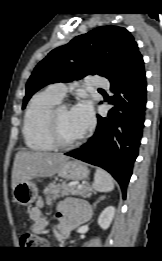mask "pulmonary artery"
<instances>
[{
    "mask_svg": "<svg viewBox=\"0 0 162 261\" xmlns=\"http://www.w3.org/2000/svg\"><path fill=\"white\" fill-rule=\"evenodd\" d=\"M93 84L96 88L99 89H109L110 88V83L108 80L95 76L93 78ZM50 92H52L54 95H56L59 98H63L66 95L67 92V85L62 82H57L50 84L47 88Z\"/></svg>",
    "mask_w": 162,
    "mask_h": 261,
    "instance_id": "pulmonary-artery-1",
    "label": "pulmonary artery"
}]
</instances>
